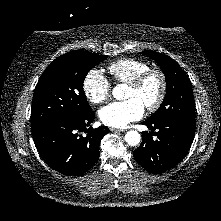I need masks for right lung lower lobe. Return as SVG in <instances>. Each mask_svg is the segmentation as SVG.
<instances>
[{"label":"right lung lower lobe","mask_w":221,"mask_h":221,"mask_svg":"<svg viewBox=\"0 0 221 221\" xmlns=\"http://www.w3.org/2000/svg\"><path fill=\"white\" fill-rule=\"evenodd\" d=\"M95 117L91 110L84 116L57 119L32 133L41 158L52 169L67 175L81 176L99 159L101 138L109 128L89 127ZM87 132L82 136L79 132Z\"/></svg>","instance_id":"obj_1"}]
</instances>
